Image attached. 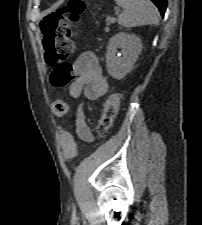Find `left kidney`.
I'll return each instance as SVG.
<instances>
[{
    "label": "left kidney",
    "instance_id": "5707ae66",
    "mask_svg": "<svg viewBox=\"0 0 202 225\" xmlns=\"http://www.w3.org/2000/svg\"><path fill=\"white\" fill-rule=\"evenodd\" d=\"M117 48L121 49V55L117 54ZM142 50L139 37L134 34L119 32L108 43L106 52V67L108 74L115 79L124 78L134 67Z\"/></svg>",
    "mask_w": 202,
    "mask_h": 225
}]
</instances>
